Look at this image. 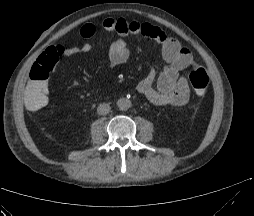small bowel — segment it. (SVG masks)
Listing matches in <instances>:
<instances>
[{"label":"small bowel","mask_w":254,"mask_h":216,"mask_svg":"<svg viewBox=\"0 0 254 216\" xmlns=\"http://www.w3.org/2000/svg\"><path fill=\"white\" fill-rule=\"evenodd\" d=\"M102 27L104 30L116 32L118 35L110 43L108 49V59L112 66H120L129 58V48L124 40L125 36L141 35L158 42L162 47V55L167 64L159 75L151 67L147 75L137 85V90L154 105L183 106L187 104L190 90L181 72L193 62V55L189 48L181 45L177 39L167 35L159 27L149 23L126 19H106L103 21ZM96 32L97 27L93 23H85L80 28V35L84 38H92ZM59 47L62 48L60 59L95 49L91 43L72 47L58 45L54 48L56 50ZM46 82L49 87L48 96H50L53 89L49 82Z\"/></svg>","instance_id":"c3829d8e"}]
</instances>
